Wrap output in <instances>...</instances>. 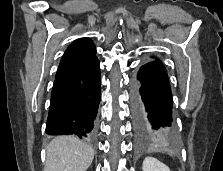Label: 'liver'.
<instances>
[{"label":"liver","instance_id":"1","mask_svg":"<svg viewBox=\"0 0 223 171\" xmlns=\"http://www.w3.org/2000/svg\"><path fill=\"white\" fill-rule=\"evenodd\" d=\"M94 158V150L73 136H59L47 146L44 171H86Z\"/></svg>","mask_w":223,"mask_h":171}]
</instances>
